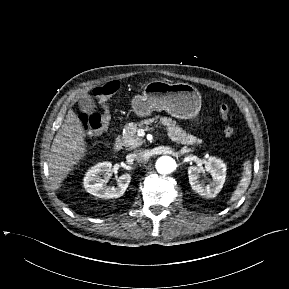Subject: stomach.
<instances>
[{
	"label": "stomach",
	"mask_w": 289,
	"mask_h": 289,
	"mask_svg": "<svg viewBox=\"0 0 289 289\" xmlns=\"http://www.w3.org/2000/svg\"><path fill=\"white\" fill-rule=\"evenodd\" d=\"M132 108L139 117L165 110L176 118L193 119L201 109V95L188 83L153 80L145 85L141 95L132 99Z\"/></svg>",
	"instance_id": "stomach-1"
}]
</instances>
